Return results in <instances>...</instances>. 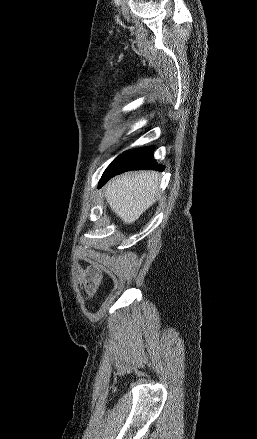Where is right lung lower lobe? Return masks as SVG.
Wrapping results in <instances>:
<instances>
[{
    "mask_svg": "<svg viewBox=\"0 0 257 439\" xmlns=\"http://www.w3.org/2000/svg\"><path fill=\"white\" fill-rule=\"evenodd\" d=\"M155 147H144L137 150H128L119 155L105 170L99 187L103 186L110 178L130 170L152 169L163 171L164 166L156 164L153 158Z\"/></svg>",
    "mask_w": 257,
    "mask_h": 439,
    "instance_id": "1",
    "label": "right lung lower lobe"
}]
</instances>
